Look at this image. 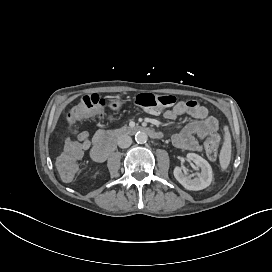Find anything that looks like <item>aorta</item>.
<instances>
[{
  "label": "aorta",
  "mask_w": 272,
  "mask_h": 272,
  "mask_svg": "<svg viewBox=\"0 0 272 272\" xmlns=\"http://www.w3.org/2000/svg\"><path fill=\"white\" fill-rule=\"evenodd\" d=\"M147 138H148L147 134L143 131H138L135 134V140L138 143H145L147 141Z\"/></svg>",
  "instance_id": "aorta-1"
}]
</instances>
